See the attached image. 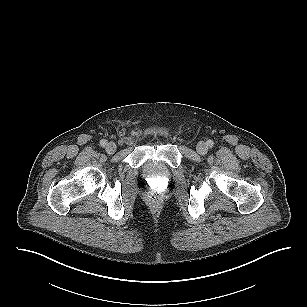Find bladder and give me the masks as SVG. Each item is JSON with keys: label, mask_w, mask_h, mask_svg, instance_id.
Instances as JSON below:
<instances>
[{"label": "bladder", "mask_w": 307, "mask_h": 307, "mask_svg": "<svg viewBox=\"0 0 307 307\" xmlns=\"http://www.w3.org/2000/svg\"><path fill=\"white\" fill-rule=\"evenodd\" d=\"M144 174L149 178H168L170 175L166 167L155 160H149L145 163Z\"/></svg>", "instance_id": "1"}]
</instances>
